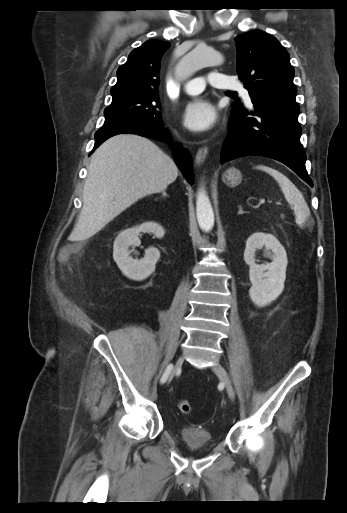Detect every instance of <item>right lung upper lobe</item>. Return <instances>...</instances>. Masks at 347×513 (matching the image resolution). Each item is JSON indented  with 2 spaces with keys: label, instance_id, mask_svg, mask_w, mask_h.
Returning a JSON list of instances; mask_svg holds the SVG:
<instances>
[{
  "label": "right lung upper lobe",
  "instance_id": "right-lung-upper-lobe-1",
  "mask_svg": "<svg viewBox=\"0 0 347 513\" xmlns=\"http://www.w3.org/2000/svg\"><path fill=\"white\" fill-rule=\"evenodd\" d=\"M169 47V42L148 40L134 49L117 70V83L110 90L113 99L124 94H159L160 61Z\"/></svg>",
  "mask_w": 347,
  "mask_h": 513
}]
</instances>
